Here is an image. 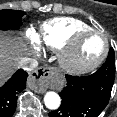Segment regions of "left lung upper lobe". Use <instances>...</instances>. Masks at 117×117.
I'll return each mask as SVG.
<instances>
[{
	"label": "left lung upper lobe",
	"instance_id": "left-lung-upper-lobe-1",
	"mask_svg": "<svg viewBox=\"0 0 117 117\" xmlns=\"http://www.w3.org/2000/svg\"><path fill=\"white\" fill-rule=\"evenodd\" d=\"M103 70H108L114 74L115 72V56L114 50L111 48L107 57L106 62L102 65Z\"/></svg>",
	"mask_w": 117,
	"mask_h": 117
}]
</instances>
